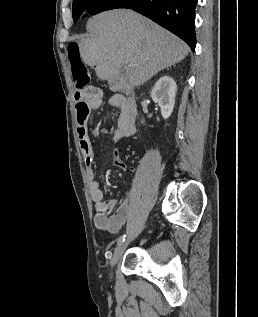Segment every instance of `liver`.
<instances>
[{"label":"liver","instance_id":"6515ba94","mask_svg":"<svg viewBox=\"0 0 258 317\" xmlns=\"http://www.w3.org/2000/svg\"><path fill=\"white\" fill-rule=\"evenodd\" d=\"M89 38L79 40L80 56L88 66H95L99 78L116 84L124 80L122 64L130 66L127 82L144 84L159 70L180 62L189 46L146 16L116 8L88 18Z\"/></svg>","mask_w":258,"mask_h":317}]
</instances>
